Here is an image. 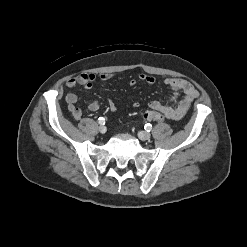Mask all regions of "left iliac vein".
Segmentation results:
<instances>
[{
	"label": "left iliac vein",
	"mask_w": 247,
	"mask_h": 247,
	"mask_svg": "<svg viewBox=\"0 0 247 247\" xmlns=\"http://www.w3.org/2000/svg\"><path fill=\"white\" fill-rule=\"evenodd\" d=\"M138 137H139V139L145 141V140H149L151 138V134L146 132V131H140V132H138Z\"/></svg>",
	"instance_id": "obj_1"
}]
</instances>
